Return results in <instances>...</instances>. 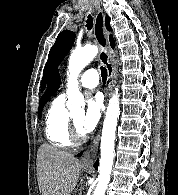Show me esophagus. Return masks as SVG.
<instances>
[{
    "instance_id": "obj_1",
    "label": "esophagus",
    "mask_w": 178,
    "mask_h": 195,
    "mask_svg": "<svg viewBox=\"0 0 178 195\" xmlns=\"http://www.w3.org/2000/svg\"><path fill=\"white\" fill-rule=\"evenodd\" d=\"M94 35L96 42L99 46L100 61L105 65L108 73L109 82L107 90L105 92V102L107 103L108 97L110 96L113 86L115 84L116 70L108 52L109 39L105 28V15L100 5L96 6ZM99 140L100 131H98L95 138L93 139L89 147L86 149L80 162L81 166L91 167L93 165L98 151Z\"/></svg>"
}]
</instances>
